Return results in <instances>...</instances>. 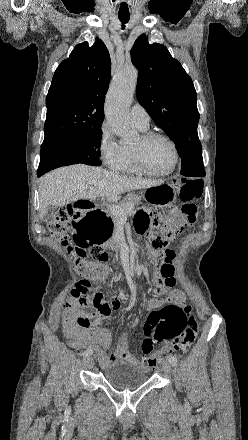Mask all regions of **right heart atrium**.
Masks as SVG:
<instances>
[{
  "label": "right heart atrium",
  "instance_id": "obj_1",
  "mask_svg": "<svg viewBox=\"0 0 248 440\" xmlns=\"http://www.w3.org/2000/svg\"><path fill=\"white\" fill-rule=\"evenodd\" d=\"M98 154L109 169L116 171L123 159V146L118 142L107 123L100 128Z\"/></svg>",
  "mask_w": 248,
  "mask_h": 440
}]
</instances>
